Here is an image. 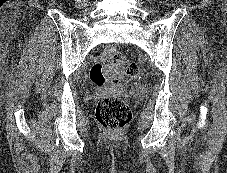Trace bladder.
Listing matches in <instances>:
<instances>
[{
    "label": "bladder",
    "mask_w": 227,
    "mask_h": 173,
    "mask_svg": "<svg viewBox=\"0 0 227 173\" xmlns=\"http://www.w3.org/2000/svg\"><path fill=\"white\" fill-rule=\"evenodd\" d=\"M133 91H134L135 94H138L139 93V88H135Z\"/></svg>",
    "instance_id": "bladder-1"
}]
</instances>
